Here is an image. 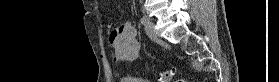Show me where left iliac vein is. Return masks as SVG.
<instances>
[{
	"mask_svg": "<svg viewBox=\"0 0 279 82\" xmlns=\"http://www.w3.org/2000/svg\"><path fill=\"white\" fill-rule=\"evenodd\" d=\"M145 25V31L148 37L152 40H156L158 38V35L155 31V23L152 21H148L144 23Z\"/></svg>",
	"mask_w": 279,
	"mask_h": 82,
	"instance_id": "1",
	"label": "left iliac vein"
}]
</instances>
